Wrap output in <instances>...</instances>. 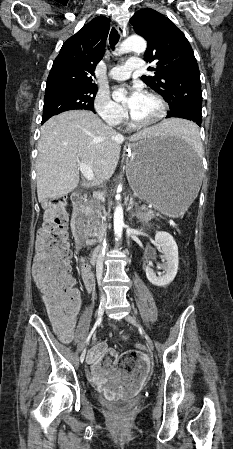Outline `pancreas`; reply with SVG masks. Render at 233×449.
<instances>
[{
	"mask_svg": "<svg viewBox=\"0 0 233 449\" xmlns=\"http://www.w3.org/2000/svg\"><path fill=\"white\" fill-rule=\"evenodd\" d=\"M86 211L88 214L89 222L92 224L94 230L96 231L97 227L101 225V220L103 217V206L100 204V199L96 196L91 199L86 205ZM136 216L142 223H147L155 217V213L151 210L142 212L140 211L136 214Z\"/></svg>",
	"mask_w": 233,
	"mask_h": 449,
	"instance_id": "cf45deb5",
	"label": "pancreas"
}]
</instances>
